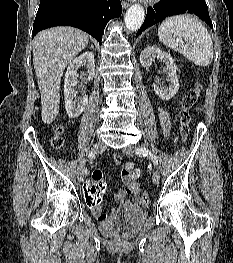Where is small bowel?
<instances>
[{
  "instance_id": "small-bowel-1",
  "label": "small bowel",
  "mask_w": 233,
  "mask_h": 263,
  "mask_svg": "<svg viewBox=\"0 0 233 263\" xmlns=\"http://www.w3.org/2000/svg\"><path fill=\"white\" fill-rule=\"evenodd\" d=\"M159 121L161 128L166 137L171 136V125L172 117L168 110L164 107L158 108ZM174 141L178 140V136L172 137ZM114 162L120 164L122 158L119 155L114 156ZM141 176V170L135 168L131 162H127L123 165L121 171L122 181L125 188L120 189L115 194V200L120 205V210L127 208H137L141 205L139 193L141 187L139 184V178ZM87 186V185H86ZM85 192V189H84ZM86 196V195H85ZM93 214L98 218V220L103 221L107 219V215L103 213L100 202L96 205V208H91Z\"/></svg>"
}]
</instances>
